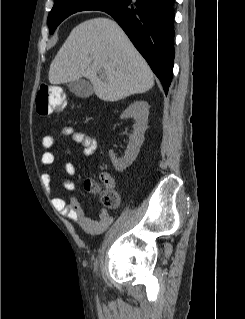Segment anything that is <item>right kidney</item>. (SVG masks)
<instances>
[{
  "label": "right kidney",
  "instance_id": "obj_1",
  "mask_svg": "<svg viewBox=\"0 0 245 319\" xmlns=\"http://www.w3.org/2000/svg\"><path fill=\"white\" fill-rule=\"evenodd\" d=\"M150 106L144 100L135 101L121 115V119L133 117L135 124L134 132L129 137V144L123 158H117L113 150L109 151L110 158L115 169L123 172L137 158L140 147L144 141V133L147 129Z\"/></svg>",
  "mask_w": 245,
  "mask_h": 319
}]
</instances>
